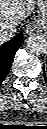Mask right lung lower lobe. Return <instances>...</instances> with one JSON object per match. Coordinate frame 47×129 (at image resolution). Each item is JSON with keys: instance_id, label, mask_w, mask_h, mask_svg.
Instances as JSON below:
<instances>
[{"instance_id": "98d812e1", "label": "right lung lower lobe", "mask_w": 47, "mask_h": 129, "mask_svg": "<svg viewBox=\"0 0 47 129\" xmlns=\"http://www.w3.org/2000/svg\"><path fill=\"white\" fill-rule=\"evenodd\" d=\"M23 39V34H17L10 41L0 46V84L7 76L16 51L19 49Z\"/></svg>"}]
</instances>
